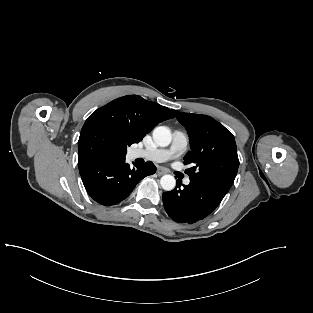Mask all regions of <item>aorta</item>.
Returning a JSON list of instances; mask_svg holds the SVG:
<instances>
[{
  "label": "aorta",
  "mask_w": 313,
  "mask_h": 313,
  "mask_svg": "<svg viewBox=\"0 0 313 313\" xmlns=\"http://www.w3.org/2000/svg\"><path fill=\"white\" fill-rule=\"evenodd\" d=\"M171 132L166 126H159L153 130V140L161 147H166L171 143ZM161 187L165 191H171L175 188L176 180L172 175H164L160 179Z\"/></svg>",
  "instance_id": "762f6f07"
}]
</instances>
